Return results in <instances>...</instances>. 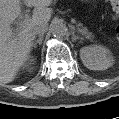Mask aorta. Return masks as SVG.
I'll return each mask as SVG.
<instances>
[{"label": "aorta", "instance_id": "obj_1", "mask_svg": "<svg viewBox=\"0 0 119 119\" xmlns=\"http://www.w3.org/2000/svg\"><path fill=\"white\" fill-rule=\"evenodd\" d=\"M50 31L54 37L62 38L67 34L68 29H67V26L63 22L55 21L51 24Z\"/></svg>", "mask_w": 119, "mask_h": 119}]
</instances>
